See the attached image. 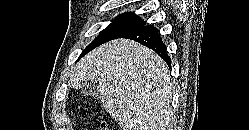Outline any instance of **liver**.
I'll use <instances>...</instances> for the list:
<instances>
[{
    "mask_svg": "<svg viewBox=\"0 0 249 130\" xmlns=\"http://www.w3.org/2000/svg\"><path fill=\"white\" fill-rule=\"evenodd\" d=\"M167 64L137 42L113 40L88 53L70 86L98 84L100 101L122 130H166L172 120L173 84Z\"/></svg>",
    "mask_w": 249,
    "mask_h": 130,
    "instance_id": "6515ba94",
    "label": "liver"
}]
</instances>
